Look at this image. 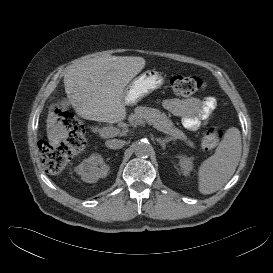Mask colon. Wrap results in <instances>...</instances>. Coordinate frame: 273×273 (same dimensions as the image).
Segmentation results:
<instances>
[{"mask_svg":"<svg viewBox=\"0 0 273 273\" xmlns=\"http://www.w3.org/2000/svg\"><path fill=\"white\" fill-rule=\"evenodd\" d=\"M170 87L176 96L187 97L201 92L205 88L204 81L196 76L174 75L170 80ZM69 131V136L59 146L48 143L39 146L40 156L46 170L56 174L61 172L75 155L80 153L86 145L84 126L67 112L58 111ZM223 130L218 126L209 127L201 139V147L211 150L220 142Z\"/></svg>","mask_w":273,"mask_h":273,"instance_id":"colon-1","label":"colon"}]
</instances>
